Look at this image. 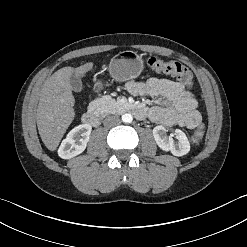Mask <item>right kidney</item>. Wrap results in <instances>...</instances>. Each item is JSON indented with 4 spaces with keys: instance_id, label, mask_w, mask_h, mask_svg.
Masks as SVG:
<instances>
[{
    "instance_id": "obj_1",
    "label": "right kidney",
    "mask_w": 247,
    "mask_h": 247,
    "mask_svg": "<svg viewBox=\"0 0 247 247\" xmlns=\"http://www.w3.org/2000/svg\"><path fill=\"white\" fill-rule=\"evenodd\" d=\"M92 126L82 124L72 129L58 149V155L62 159H70L81 154L90 139Z\"/></svg>"
}]
</instances>
